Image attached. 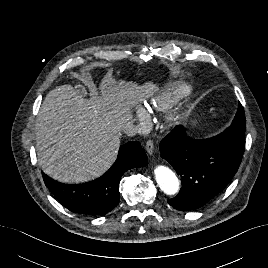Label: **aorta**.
Listing matches in <instances>:
<instances>
[{"instance_id": "aorta-1", "label": "aorta", "mask_w": 268, "mask_h": 268, "mask_svg": "<svg viewBox=\"0 0 268 268\" xmlns=\"http://www.w3.org/2000/svg\"><path fill=\"white\" fill-rule=\"evenodd\" d=\"M155 179L160 189L167 195H174L179 190V180L175 173L164 165H159L154 170Z\"/></svg>"}]
</instances>
